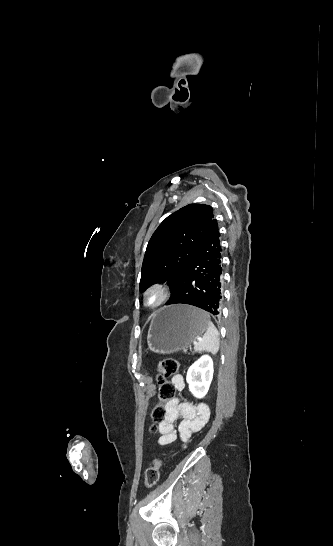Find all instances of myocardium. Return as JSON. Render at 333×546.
Segmentation results:
<instances>
[{
  "label": "myocardium",
  "instance_id": "1",
  "mask_svg": "<svg viewBox=\"0 0 333 546\" xmlns=\"http://www.w3.org/2000/svg\"><path fill=\"white\" fill-rule=\"evenodd\" d=\"M152 293H157L159 299L155 303H150L149 297ZM170 296V288L163 282H154L150 284L143 294V301L146 306L150 308H157L164 304Z\"/></svg>",
  "mask_w": 333,
  "mask_h": 546
}]
</instances>
